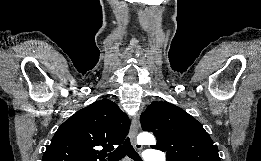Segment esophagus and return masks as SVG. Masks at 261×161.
I'll return each instance as SVG.
<instances>
[{
	"mask_svg": "<svg viewBox=\"0 0 261 161\" xmlns=\"http://www.w3.org/2000/svg\"><path fill=\"white\" fill-rule=\"evenodd\" d=\"M138 129H139V121H138V118L136 116H134L131 121L130 138H131V142L133 143V145L137 149L141 150L142 146H140L136 143V136L138 134Z\"/></svg>",
	"mask_w": 261,
	"mask_h": 161,
	"instance_id": "esophagus-1",
	"label": "esophagus"
}]
</instances>
